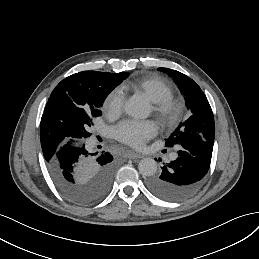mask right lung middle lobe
Here are the masks:
<instances>
[{
	"label": "right lung middle lobe",
	"instance_id": "right-lung-middle-lobe-1",
	"mask_svg": "<svg viewBox=\"0 0 259 259\" xmlns=\"http://www.w3.org/2000/svg\"><path fill=\"white\" fill-rule=\"evenodd\" d=\"M129 73L125 72L121 76H113L106 83H101L90 91L87 105L79 111L76 118L68 123L63 130L65 143L76 144L91 136L90 127L94 118L101 116L104 99L119 85Z\"/></svg>",
	"mask_w": 259,
	"mask_h": 259
}]
</instances>
